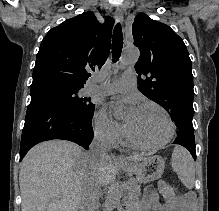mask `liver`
Masks as SVG:
<instances>
[{
	"instance_id": "6515ba94",
	"label": "liver",
	"mask_w": 219,
	"mask_h": 211,
	"mask_svg": "<svg viewBox=\"0 0 219 211\" xmlns=\"http://www.w3.org/2000/svg\"><path fill=\"white\" fill-rule=\"evenodd\" d=\"M125 159L140 161L143 155ZM115 161V155H110L90 167L88 151L72 141L37 143L26 153L19 171L22 211H80L85 199L96 209L102 185L116 179Z\"/></svg>"
}]
</instances>
